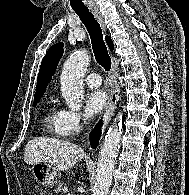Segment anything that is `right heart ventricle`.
I'll list each match as a JSON object with an SVG mask.
<instances>
[{
	"instance_id": "obj_1",
	"label": "right heart ventricle",
	"mask_w": 189,
	"mask_h": 195,
	"mask_svg": "<svg viewBox=\"0 0 189 195\" xmlns=\"http://www.w3.org/2000/svg\"><path fill=\"white\" fill-rule=\"evenodd\" d=\"M62 122L63 110H60L54 102H50L44 113V132L55 136H65L66 134L62 129Z\"/></svg>"
}]
</instances>
